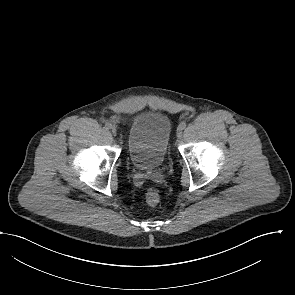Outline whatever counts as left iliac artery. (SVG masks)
I'll return each instance as SVG.
<instances>
[{
	"instance_id": "obj_1",
	"label": "left iliac artery",
	"mask_w": 295,
	"mask_h": 295,
	"mask_svg": "<svg viewBox=\"0 0 295 295\" xmlns=\"http://www.w3.org/2000/svg\"><path fill=\"white\" fill-rule=\"evenodd\" d=\"M179 127L183 130L186 127V122H181Z\"/></svg>"
}]
</instances>
